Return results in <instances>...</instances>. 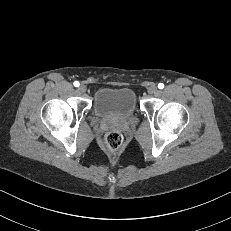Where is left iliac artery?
<instances>
[{
  "label": "left iliac artery",
  "mask_w": 231,
  "mask_h": 231,
  "mask_svg": "<svg viewBox=\"0 0 231 231\" xmlns=\"http://www.w3.org/2000/svg\"><path fill=\"white\" fill-rule=\"evenodd\" d=\"M158 88H159V89H163V88H164V84H163V83H159V84H158Z\"/></svg>",
  "instance_id": "44dca946"
}]
</instances>
